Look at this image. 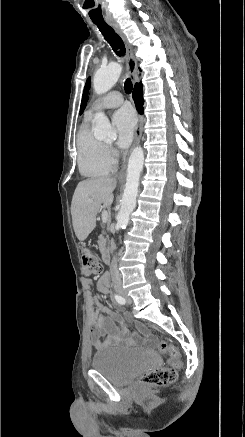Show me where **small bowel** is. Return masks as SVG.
<instances>
[{
  "instance_id": "c3829d8e",
  "label": "small bowel",
  "mask_w": 245,
  "mask_h": 437,
  "mask_svg": "<svg viewBox=\"0 0 245 437\" xmlns=\"http://www.w3.org/2000/svg\"><path fill=\"white\" fill-rule=\"evenodd\" d=\"M87 286L91 285V279H85ZM108 282L102 276L97 282V290L101 294L108 291ZM131 320L129 314H122L118 310H111L108 307L97 304L92 308L89 317L90 336L92 345L96 350L110 347H131L140 343L153 344L154 339L145 328H141L144 337L130 332L127 323Z\"/></svg>"
}]
</instances>
